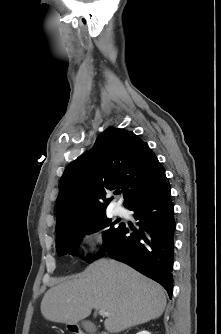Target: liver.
I'll use <instances>...</instances> for the list:
<instances>
[{
  "label": "liver",
  "instance_id": "1",
  "mask_svg": "<svg viewBox=\"0 0 221 334\" xmlns=\"http://www.w3.org/2000/svg\"><path fill=\"white\" fill-rule=\"evenodd\" d=\"M164 289L130 266L107 258L90 264L83 273L50 288L41 302L49 321L73 325L92 309L110 315L104 321L109 333L159 318L166 307Z\"/></svg>",
  "mask_w": 221,
  "mask_h": 334
}]
</instances>
